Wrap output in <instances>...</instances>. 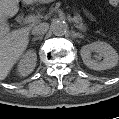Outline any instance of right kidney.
Here are the masks:
<instances>
[{
	"label": "right kidney",
	"instance_id": "ca27d5eb",
	"mask_svg": "<svg viewBox=\"0 0 119 119\" xmlns=\"http://www.w3.org/2000/svg\"><path fill=\"white\" fill-rule=\"evenodd\" d=\"M37 61V55L34 50L27 51L20 60L17 72L20 76H27L35 69Z\"/></svg>",
	"mask_w": 119,
	"mask_h": 119
}]
</instances>
